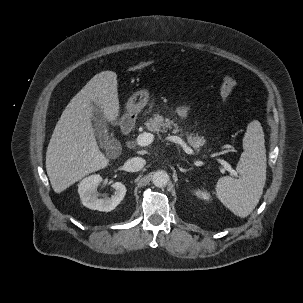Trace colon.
<instances>
[{
    "label": "colon",
    "mask_w": 303,
    "mask_h": 303,
    "mask_svg": "<svg viewBox=\"0 0 303 303\" xmlns=\"http://www.w3.org/2000/svg\"><path fill=\"white\" fill-rule=\"evenodd\" d=\"M151 65L150 61L139 62L129 68L130 71H140ZM236 82L233 78L223 75L220 79V94L225 102L229 101L235 90Z\"/></svg>",
    "instance_id": "obj_1"
}]
</instances>
